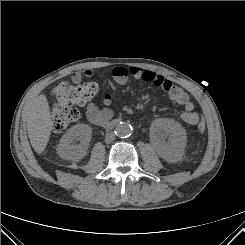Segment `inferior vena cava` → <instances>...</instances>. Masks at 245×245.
<instances>
[{
	"label": "inferior vena cava",
	"instance_id": "602c4592",
	"mask_svg": "<svg viewBox=\"0 0 245 245\" xmlns=\"http://www.w3.org/2000/svg\"><path fill=\"white\" fill-rule=\"evenodd\" d=\"M115 139V134L113 132H109L105 136V142L106 143H111Z\"/></svg>",
	"mask_w": 245,
	"mask_h": 245
}]
</instances>
